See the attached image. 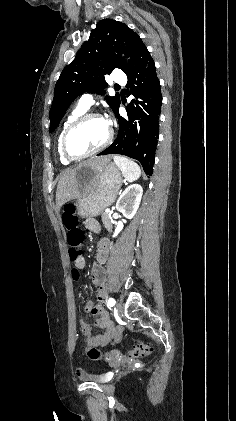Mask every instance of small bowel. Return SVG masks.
I'll use <instances>...</instances> for the list:
<instances>
[{"label":"small bowel","instance_id":"small-bowel-1","mask_svg":"<svg viewBox=\"0 0 236 421\" xmlns=\"http://www.w3.org/2000/svg\"><path fill=\"white\" fill-rule=\"evenodd\" d=\"M85 224H86V227L89 230H91V231H93L95 233H99L101 231V227H100L99 223L95 219H92V218L87 219L86 222H85ZM89 306L90 305H88V307ZM101 316L104 318V320L107 323V328H106L107 335H106V339L103 342H100V343L106 344L111 339V337H113L117 333V330L115 329V327L113 326V324L109 321L108 315L106 313L101 312ZM83 324H85V323L84 322H81V325H83ZM91 342H96V341L93 340V339H91ZM80 373H81V371L79 370L78 371V375Z\"/></svg>","mask_w":236,"mask_h":421}]
</instances>
